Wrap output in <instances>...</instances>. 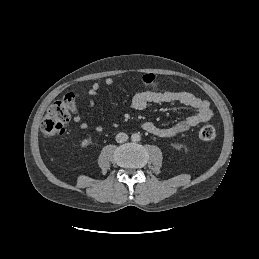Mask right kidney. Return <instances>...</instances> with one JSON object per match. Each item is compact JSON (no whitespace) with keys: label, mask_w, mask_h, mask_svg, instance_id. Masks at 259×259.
Returning a JSON list of instances; mask_svg holds the SVG:
<instances>
[{"label":"right kidney","mask_w":259,"mask_h":259,"mask_svg":"<svg viewBox=\"0 0 259 259\" xmlns=\"http://www.w3.org/2000/svg\"><path fill=\"white\" fill-rule=\"evenodd\" d=\"M90 143H91V139H90V138H86V139H83V140L81 141L80 146H81L82 148H86L88 145H90Z\"/></svg>","instance_id":"ca27d5eb"}]
</instances>
